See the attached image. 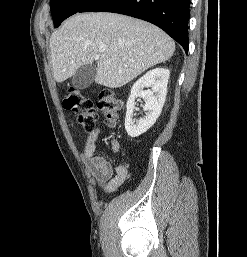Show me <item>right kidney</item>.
Here are the masks:
<instances>
[{"mask_svg": "<svg viewBox=\"0 0 247 257\" xmlns=\"http://www.w3.org/2000/svg\"><path fill=\"white\" fill-rule=\"evenodd\" d=\"M170 71L166 68H155L148 71L136 81L131 89V94L127 101V112L125 117V129L130 137H138L151 128L161 114L166 94ZM151 87V90H144ZM143 98L144 111H148L144 118L138 121L133 119L135 109V99Z\"/></svg>", "mask_w": 247, "mask_h": 257, "instance_id": "right-kidney-1", "label": "right kidney"}]
</instances>
